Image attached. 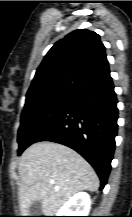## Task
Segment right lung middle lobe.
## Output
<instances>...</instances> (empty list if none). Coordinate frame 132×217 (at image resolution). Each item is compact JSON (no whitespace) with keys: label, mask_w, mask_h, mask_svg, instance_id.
<instances>
[{"label":"right lung middle lobe","mask_w":132,"mask_h":217,"mask_svg":"<svg viewBox=\"0 0 132 217\" xmlns=\"http://www.w3.org/2000/svg\"><path fill=\"white\" fill-rule=\"evenodd\" d=\"M76 96L70 92L59 91L26 98L18 130V155L36 142Z\"/></svg>","instance_id":"dd1d6c3e"}]
</instances>
